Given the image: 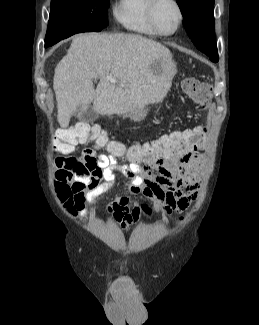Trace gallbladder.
Masks as SVG:
<instances>
[{"label": "gallbladder", "mask_w": 259, "mask_h": 325, "mask_svg": "<svg viewBox=\"0 0 259 325\" xmlns=\"http://www.w3.org/2000/svg\"><path fill=\"white\" fill-rule=\"evenodd\" d=\"M80 112H81V107H79L77 109V111L75 112V115H78ZM81 117L84 118L86 121L92 123L93 121H95L97 119L98 115L95 113L92 106L89 105L87 110L81 114L80 118Z\"/></svg>", "instance_id": "1"}]
</instances>
